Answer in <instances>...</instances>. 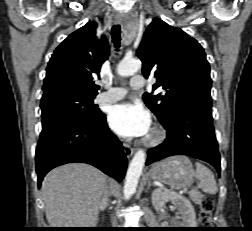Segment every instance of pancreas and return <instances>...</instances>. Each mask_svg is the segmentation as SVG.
<instances>
[{
	"mask_svg": "<svg viewBox=\"0 0 252 231\" xmlns=\"http://www.w3.org/2000/svg\"><path fill=\"white\" fill-rule=\"evenodd\" d=\"M189 194L193 202H195L196 204H199L201 202L203 195L198 190H193Z\"/></svg>",
	"mask_w": 252,
	"mask_h": 231,
	"instance_id": "cf45deb5",
	"label": "pancreas"
}]
</instances>
